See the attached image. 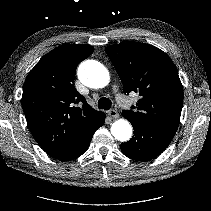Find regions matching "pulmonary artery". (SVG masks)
<instances>
[{
	"label": "pulmonary artery",
	"mask_w": 211,
	"mask_h": 211,
	"mask_svg": "<svg viewBox=\"0 0 211 211\" xmlns=\"http://www.w3.org/2000/svg\"><path fill=\"white\" fill-rule=\"evenodd\" d=\"M126 103H127L126 100H124V101H123V104L126 105Z\"/></svg>",
	"instance_id": "e3ab8cb5"
}]
</instances>
